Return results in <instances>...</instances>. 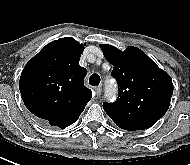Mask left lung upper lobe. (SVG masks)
<instances>
[{"mask_svg": "<svg viewBox=\"0 0 190 165\" xmlns=\"http://www.w3.org/2000/svg\"><path fill=\"white\" fill-rule=\"evenodd\" d=\"M100 48L114 66L112 76L119 87L117 100L103 104L105 112L125 130L153 126L169 108L173 94L170 76L136 47L123 52L106 44H100Z\"/></svg>", "mask_w": 190, "mask_h": 165, "instance_id": "obj_1", "label": "left lung upper lobe"}]
</instances>
